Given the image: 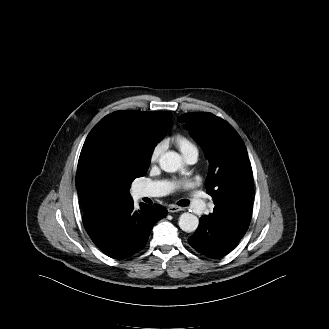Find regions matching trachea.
I'll list each match as a JSON object with an SVG mask.
<instances>
[{"label":"trachea","instance_id":"1","mask_svg":"<svg viewBox=\"0 0 329 329\" xmlns=\"http://www.w3.org/2000/svg\"><path fill=\"white\" fill-rule=\"evenodd\" d=\"M178 204H179L180 206H188L189 201H188V200H181Z\"/></svg>","mask_w":329,"mask_h":329}]
</instances>
